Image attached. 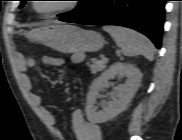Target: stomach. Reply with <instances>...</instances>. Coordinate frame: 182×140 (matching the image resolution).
<instances>
[{"label":"stomach","instance_id":"stomach-1","mask_svg":"<svg viewBox=\"0 0 182 140\" xmlns=\"http://www.w3.org/2000/svg\"><path fill=\"white\" fill-rule=\"evenodd\" d=\"M27 36L61 53L95 52L104 45L100 33L87 31L69 24H49L27 33Z\"/></svg>","mask_w":182,"mask_h":140}]
</instances>
